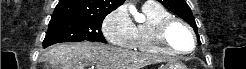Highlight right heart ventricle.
I'll use <instances>...</instances> for the list:
<instances>
[{
	"mask_svg": "<svg viewBox=\"0 0 246 69\" xmlns=\"http://www.w3.org/2000/svg\"><path fill=\"white\" fill-rule=\"evenodd\" d=\"M142 11L145 19L134 25L133 45L130 48L153 55H166L167 52L151 40L150 33L163 19L173 17L172 14L162 6L148 1L143 5Z\"/></svg>",
	"mask_w": 246,
	"mask_h": 69,
	"instance_id": "e07e8e85",
	"label": "right heart ventricle"
}]
</instances>
